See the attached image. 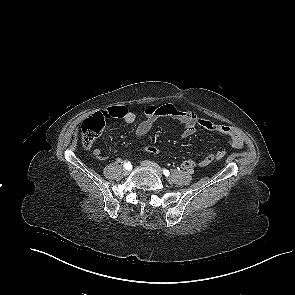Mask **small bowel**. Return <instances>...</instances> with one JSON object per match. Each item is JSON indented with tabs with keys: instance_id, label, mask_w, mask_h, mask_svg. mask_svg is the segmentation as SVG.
Wrapping results in <instances>:
<instances>
[{
	"instance_id": "small-bowel-1",
	"label": "small bowel",
	"mask_w": 295,
	"mask_h": 295,
	"mask_svg": "<svg viewBox=\"0 0 295 295\" xmlns=\"http://www.w3.org/2000/svg\"><path fill=\"white\" fill-rule=\"evenodd\" d=\"M100 115L104 119L116 118L125 123H133L136 120V114L128 110L125 106H111L108 107ZM162 117H170L182 124L181 136L188 138L193 136L198 127L205 130L222 134L229 139V143L234 148H241L243 146V139L241 135L232 127L220 123H215L209 119L200 117L192 111L186 110L180 106L173 104H164L161 106H149L145 110V118L137 125L135 136L138 139L144 138L152 129L153 125ZM224 151H217L208 154L200 161L192 159H185L181 166L187 171H193L197 167H205L213 160L220 159L218 155ZM93 154L97 158H101L100 149H94Z\"/></svg>"
}]
</instances>
